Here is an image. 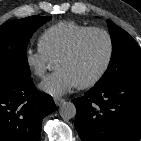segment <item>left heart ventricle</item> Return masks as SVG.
Segmentation results:
<instances>
[{"mask_svg":"<svg viewBox=\"0 0 141 141\" xmlns=\"http://www.w3.org/2000/svg\"><path fill=\"white\" fill-rule=\"evenodd\" d=\"M108 53V43L104 35H88L79 49L71 57L57 62V68L68 71L78 83L92 78L102 67Z\"/></svg>","mask_w":141,"mask_h":141,"instance_id":"left-heart-ventricle-1","label":"left heart ventricle"}]
</instances>
